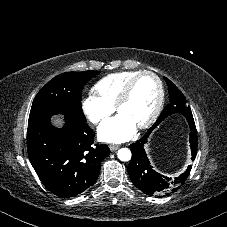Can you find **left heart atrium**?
Returning <instances> with one entry per match:
<instances>
[{"mask_svg":"<svg viewBox=\"0 0 227 227\" xmlns=\"http://www.w3.org/2000/svg\"><path fill=\"white\" fill-rule=\"evenodd\" d=\"M136 126L122 114L105 120L98 128L100 140L109 143H120L134 136Z\"/></svg>","mask_w":227,"mask_h":227,"instance_id":"obj_1","label":"left heart atrium"}]
</instances>
